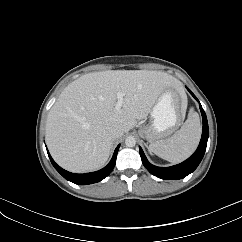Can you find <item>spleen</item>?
Listing matches in <instances>:
<instances>
[{"label":"spleen","instance_id":"1","mask_svg":"<svg viewBox=\"0 0 242 242\" xmlns=\"http://www.w3.org/2000/svg\"><path fill=\"white\" fill-rule=\"evenodd\" d=\"M201 137V124L197 112L191 110L180 130L170 138L159 140L149 146V151L171 163L188 158L197 148Z\"/></svg>","mask_w":242,"mask_h":242}]
</instances>
